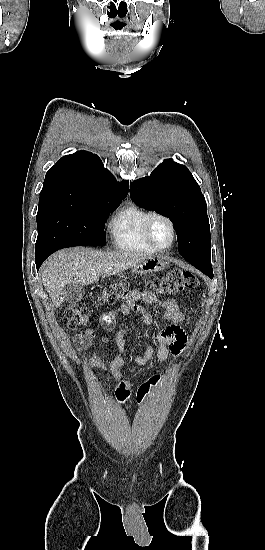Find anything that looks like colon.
I'll use <instances>...</instances> for the list:
<instances>
[{
  "label": "colon",
  "mask_w": 265,
  "mask_h": 550,
  "mask_svg": "<svg viewBox=\"0 0 265 550\" xmlns=\"http://www.w3.org/2000/svg\"><path fill=\"white\" fill-rule=\"evenodd\" d=\"M200 280L190 271L175 269L171 273L151 282V286L161 294L176 295L188 290L198 288ZM130 282L119 280L108 285L98 298V302L104 305H114L123 300L129 293ZM89 309L81 304H71L65 310L67 327L77 330L89 321ZM160 381L159 377H152L144 382L137 390L136 400L138 404H144L147 397Z\"/></svg>",
  "instance_id": "1"
}]
</instances>
